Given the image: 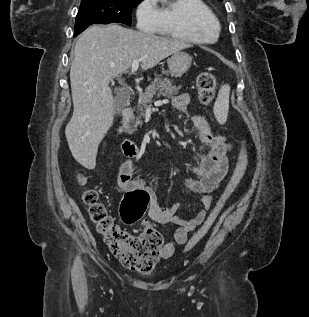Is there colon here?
<instances>
[{
    "instance_id": "colon-1",
    "label": "colon",
    "mask_w": 309,
    "mask_h": 317,
    "mask_svg": "<svg viewBox=\"0 0 309 317\" xmlns=\"http://www.w3.org/2000/svg\"><path fill=\"white\" fill-rule=\"evenodd\" d=\"M199 99L203 104H209L215 93L216 79L209 72H202L197 77ZM247 167V152L241 146L233 174L219 198L214 209L202 227L189 241L191 247L201 240L209 231L225 204L235 192L242 180ZM82 183L84 177H80ZM82 200L88 207L89 215L98 233L110 247L114 256L126 267L142 273L149 272L159 256L163 243L160 232L153 225H146L140 235L135 236L122 229L108 215L104 205L99 202L98 193L92 188H86ZM149 202V195L144 190H135L125 194L121 204V216L124 222L134 223L142 218Z\"/></svg>"
}]
</instances>
